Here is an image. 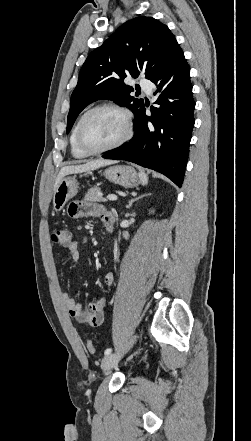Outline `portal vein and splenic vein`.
<instances>
[{
  "mask_svg": "<svg viewBox=\"0 0 251 441\" xmlns=\"http://www.w3.org/2000/svg\"><path fill=\"white\" fill-rule=\"evenodd\" d=\"M107 199L110 200V201H116L117 200V196L113 195V194H110V195L107 196Z\"/></svg>",
  "mask_w": 251,
  "mask_h": 441,
  "instance_id": "1",
  "label": "portal vein and splenic vein"
}]
</instances>
